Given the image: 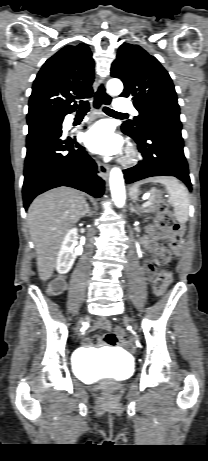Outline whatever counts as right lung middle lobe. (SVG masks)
<instances>
[{
    "instance_id": "dd1d6c3e",
    "label": "right lung middle lobe",
    "mask_w": 208,
    "mask_h": 461,
    "mask_svg": "<svg viewBox=\"0 0 208 461\" xmlns=\"http://www.w3.org/2000/svg\"><path fill=\"white\" fill-rule=\"evenodd\" d=\"M62 118H48V117H33V118H27V124H28V133H32L35 130L50 125V124H56V123H61Z\"/></svg>"
}]
</instances>
